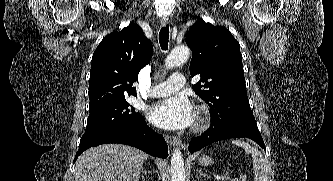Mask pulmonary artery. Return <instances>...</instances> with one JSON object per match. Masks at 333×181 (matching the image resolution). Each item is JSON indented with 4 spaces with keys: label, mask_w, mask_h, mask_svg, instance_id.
<instances>
[{
    "label": "pulmonary artery",
    "mask_w": 333,
    "mask_h": 181,
    "mask_svg": "<svg viewBox=\"0 0 333 181\" xmlns=\"http://www.w3.org/2000/svg\"><path fill=\"white\" fill-rule=\"evenodd\" d=\"M185 77L180 73L172 74L168 81L157 84L149 91V96L158 98L166 97L177 92L185 85Z\"/></svg>",
    "instance_id": "obj_1"
}]
</instances>
